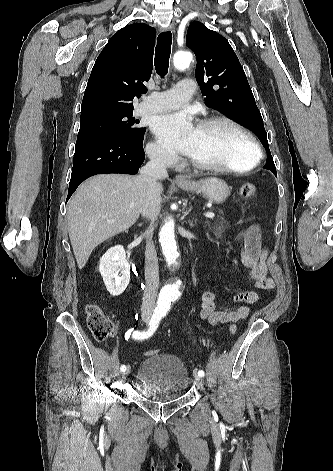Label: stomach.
<instances>
[{"mask_svg": "<svg viewBox=\"0 0 333 471\" xmlns=\"http://www.w3.org/2000/svg\"><path fill=\"white\" fill-rule=\"evenodd\" d=\"M177 185L185 191L202 194L206 199L217 204L223 203L230 194L227 183L216 177L178 183Z\"/></svg>", "mask_w": 333, "mask_h": 471, "instance_id": "obj_1", "label": "stomach"}]
</instances>
